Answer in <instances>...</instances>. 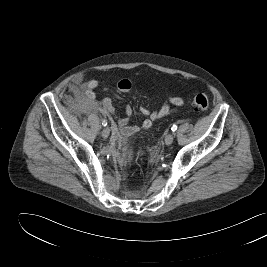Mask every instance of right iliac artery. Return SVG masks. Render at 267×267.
I'll list each match as a JSON object with an SVG mask.
<instances>
[{
  "instance_id": "1",
  "label": "right iliac artery",
  "mask_w": 267,
  "mask_h": 267,
  "mask_svg": "<svg viewBox=\"0 0 267 267\" xmlns=\"http://www.w3.org/2000/svg\"><path fill=\"white\" fill-rule=\"evenodd\" d=\"M102 125L106 126L107 125V121L105 119L102 120Z\"/></svg>"
}]
</instances>
